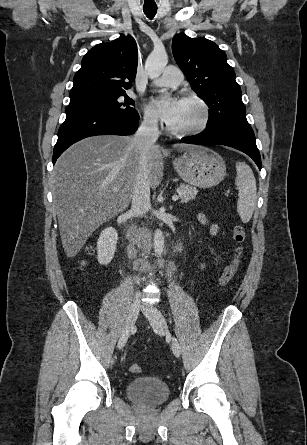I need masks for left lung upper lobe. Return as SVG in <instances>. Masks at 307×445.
Masks as SVG:
<instances>
[{
	"instance_id": "obj_1",
	"label": "left lung upper lobe",
	"mask_w": 307,
	"mask_h": 445,
	"mask_svg": "<svg viewBox=\"0 0 307 445\" xmlns=\"http://www.w3.org/2000/svg\"><path fill=\"white\" fill-rule=\"evenodd\" d=\"M172 51L192 89L209 107L206 129L223 124L249 126L241 89L224 51L208 39L184 33L174 36Z\"/></svg>"
}]
</instances>
